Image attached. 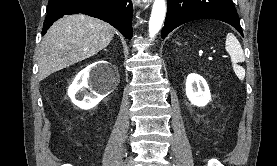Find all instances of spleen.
Segmentation results:
<instances>
[{
  "instance_id": "1",
  "label": "spleen",
  "mask_w": 277,
  "mask_h": 166,
  "mask_svg": "<svg viewBox=\"0 0 277 166\" xmlns=\"http://www.w3.org/2000/svg\"><path fill=\"white\" fill-rule=\"evenodd\" d=\"M225 49L229 53L234 67L236 66V63H242L245 61L243 49L237 38L232 33H228L226 36Z\"/></svg>"
}]
</instances>
